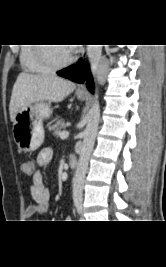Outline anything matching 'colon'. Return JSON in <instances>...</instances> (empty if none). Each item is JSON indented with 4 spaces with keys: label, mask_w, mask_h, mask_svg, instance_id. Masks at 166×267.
I'll return each instance as SVG.
<instances>
[{
    "label": "colon",
    "mask_w": 166,
    "mask_h": 267,
    "mask_svg": "<svg viewBox=\"0 0 166 267\" xmlns=\"http://www.w3.org/2000/svg\"><path fill=\"white\" fill-rule=\"evenodd\" d=\"M22 169L24 171V173L28 174L27 176L29 177L34 169V163L33 162H24L23 165H22Z\"/></svg>",
    "instance_id": "obj_1"
}]
</instances>
